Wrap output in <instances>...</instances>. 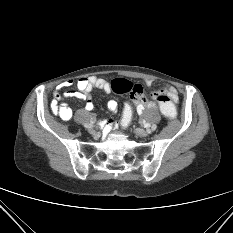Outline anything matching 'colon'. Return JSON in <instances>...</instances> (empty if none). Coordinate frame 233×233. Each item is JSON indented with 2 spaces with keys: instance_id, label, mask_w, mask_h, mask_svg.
I'll list each match as a JSON object with an SVG mask.
<instances>
[{
  "instance_id": "obj_1",
  "label": "colon",
  "mask_w": 233,
  "mask_h": 233,
  "mask_svg": "<svg viewBox=\"0 0 233 233\" xmlns=\"http://www.w3.org/2000/svg\"><path fill=\"white\" fill-rule=\"evenodd\" d=\"M111 90L117 94L129 93L133 102L146 101V93L142 85L134 84L125 79H115L111 83ZM151 96L158 101L161 112L168 118L173 119L176 115L174 105L164 92H154ZM134 110L131 103H125L121 116V125L127 128L133 118Z\"/></svg>"
}]
</instances>
